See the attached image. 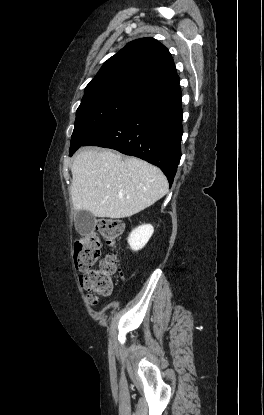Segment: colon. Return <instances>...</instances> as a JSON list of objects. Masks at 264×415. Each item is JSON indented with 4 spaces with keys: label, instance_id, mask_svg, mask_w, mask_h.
Returning a JSON list of instances; mask_svg holds the SVG:
<instances>
[{
    "label": "colon",
    "instance_id": "5ec220e1",
    "mask_svg": "<svg viewBox=\"0 0 264 415\" xmlns=\"http://www.w3.org/2000/svg\"><path fill=\"white\" fill-rule=\"evenodd\" d=\"M123 223L115 219H103L96 228L76 241L74 245L75 268L80 274V286L86 293L88 305H96L99 297H107L112 291L113 275L117 260L108 255L98 263L101 239L114 246L123 232Z\"/></svg>",
    "mask_w": 264,
    "mask_h": 415
}]
</instances>
